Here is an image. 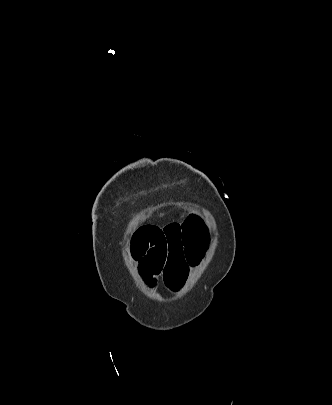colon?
Returning a JSON list of instances; mask_svg holds the SVG:
<instances>
[{
	"instance_id": "colon-1",
	"label": "colon",
	"mask_w": 332,
	"mask_h": 405,
	"mask_svg": "<svg viewBox=\"0 0 332 405\" xmlns=\"http://www.w3.org/2000/svg\"><path fill=\"white\" fill-rule=\"evenodd\" d=\"M183 227L185 229V262H200L201 257L206 255L205 249H207L211 222L210 220H184Z\"/></svg>"
}]
</instances>
